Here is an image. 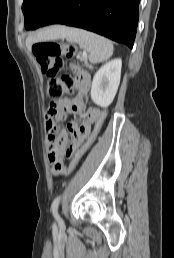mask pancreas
<instances>
[{
  "label": "pancreas",
  "mask_w": 174,
  "mask_h": 258,
  "mask_svg": "<svg viewBox=\"0 0 174 258\" xmlns=\"http://www.w3.org/2000/svg\"><path fill=\"white\" fill-rule=\"evenodd\" d=\"M80 60L86 62V58H84V57L80 58ZM86 66H87L89 69H92V66L89 65V64H87V63H86Z\"/></svg>",
  "instance_id": "pancreas-1"
}]
</instances>
